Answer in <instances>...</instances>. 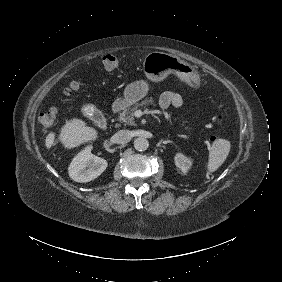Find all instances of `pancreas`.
Instances as JSON below:
<instances>
[{"label":"pancreas","instance_id":"obj_1","mask_svg":"<svg viewBox=\"0 0 282 282\" xmlns=\"http://www.w3.org/2000/svg\"><path fill=\"white\" fill-rule=\"evenodd\" d=\"M148 101H144L143 103L137 104L136 107H133L132 109L126 110L125 112L121 113L118 117V120L120 122L128 123L129 125H134L135 124V117L134 113L135 111L142 109L144 104L147 103ZM151 102V101H150ZM178 117L174 118V121H177ZM188 120L182 121L180 124L182 127L185 126V124H188ZM185 131L189 133L190 135L192 134V128L190 126H186Z\"/></svg>","mask_w":282,"mask_h":282}]
</instances>
